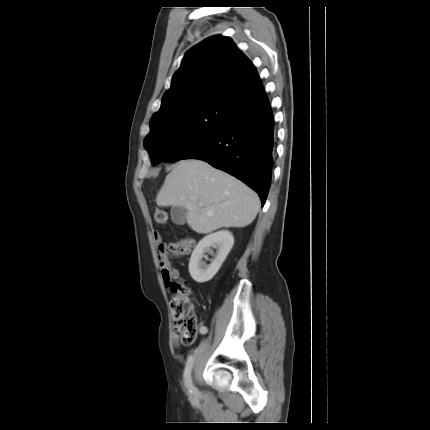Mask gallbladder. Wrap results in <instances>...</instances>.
Masks as SVG:
<instances>
[{"mask_svg": "<svg viewBox=\"0 0 430 430\" xmlns=\"http://www.w3.org/2000/svg\"><path fill=\"white\" fill-rule=\"evenodd\" d=\"M170 215L173 223L183 225L186 222L187 210L181 206H172Z\"/></svg>", "mask_w": 430, "mask_h": 430, "instance_id": "gallbladder-1", "label": "gallbladder"}]
</instances>
